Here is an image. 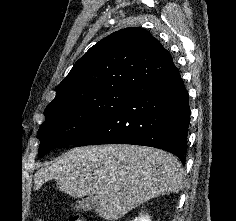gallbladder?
Listing matches in <instances>:
<instances>
[{
	"mask_svg": "<svg viewBox=\"0 0 236 221\" xmlns=\"http://www.w3.org/2000/svg\"><path fill=\"white\" fill-rule=\"evenodd\" d=\"M97 205V199L93 195H89L85 198L78 200L75 204L74 209L77 211H90L93 210Z\"/></svg>",
	"mask_w": 236,
	"mask_h": 221,
	"instance_id": "1",
	"label": "gallbladder"
}]
</instances>
